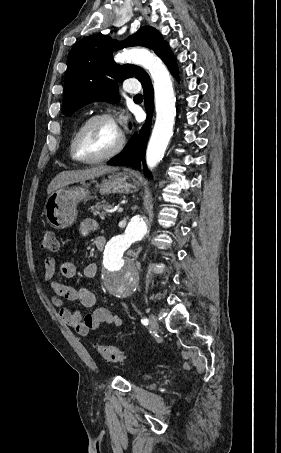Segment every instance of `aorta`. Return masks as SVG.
<instances>
[{
    "label": "aorta",
    "mask_w": 281,
    "mask_h": 453,
    "mask_svg": "<svg viewBox=\"0 0 281 453\" xmlns=\"http://www.w3.org/2000/svg\"><path fill=\"white\" fill-rule=\"evenodd\" d=\"M115 61L137 64L143 67L153 80L156 120L146 150L147 166L152 169L162 160L173 135L176 98L170 73L160 58L145 48L125 49L115 56ZM147 232L144 218L135 216L125 232L114 236L105 247L103 284L116 298L130 296L138 285V272L131 260L123 254L132 243L142 240Z\"/></svg>",
    "instance_id": "1"
}]
</instances>
